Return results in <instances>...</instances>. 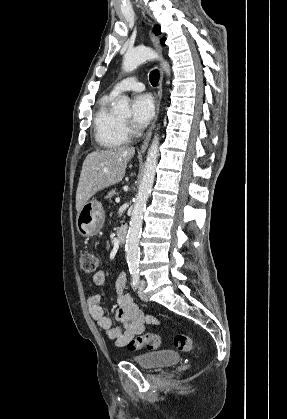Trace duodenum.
Masks as SVG:
<instances>
[{
	"label": "duodenum",
	"mask_w": 287,
	"mask_h": 419,
	"mask_svg": "<svg viewBox=\"0 0 287 419\" xmlns=\"http://www.w3.org/2000/svg\"><path fill=\"white\" fill-rule=\"evenodd\" d=\"M127 236V230L123 227H120L116 231V241L121 244L125 241Z\"/></svg>",
	"instance_id": "duodenum-1"
}]
</instances>
